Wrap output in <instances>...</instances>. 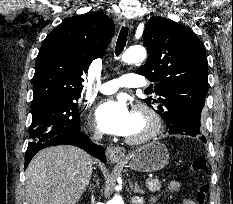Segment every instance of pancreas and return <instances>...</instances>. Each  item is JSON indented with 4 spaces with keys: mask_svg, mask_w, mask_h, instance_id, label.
Wrapping results in <instances>:
<instances>
[{
    "mask_svg": "<svg viewBox=\"0 0 233 204\" xmlns=\"http://www.w3.org/2000/svg\"><path fill=\"white\" fill-rule=\"evenodd\" d=\"M147 188L150 192L160 191L162 185L158 179H150L146 182Z\"/></svg>",
    "mask_w": 233,
    "mask_h": 204,
    "instance_id": "1",
    "label": "pancreas"
}]
</instances>
